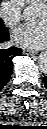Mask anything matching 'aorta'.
I'll return each mask as SVG.
<instances>
[{
  "mask_svg": "<svg viewBox=\"0 0 47 129\" xmlns=\"http://www.w3.org/2000/svg\"><path fill=\"white\" fill-rule=\"evenodd\" d=\"M25 18H29L31 15V9L28 7L23 11ZM39 65L42 69L46 70L47 68V55L45 53L39 56Z\"/></svg>",
  "mask_w": 47,
  "mask_h": 129,
  "instance_id": "obj_1",
  "label": "aorta"
}]
</instances>
